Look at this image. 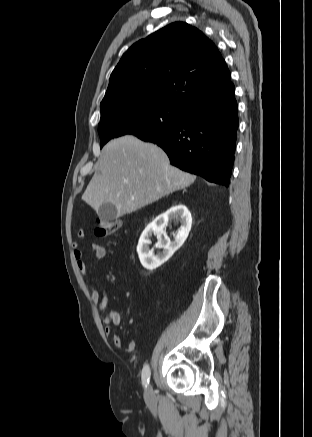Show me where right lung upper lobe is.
Instances as JSON below:
<instances>
[{
    "instance_id": "cb5924a9",
    "label": "right lung upper lobe",
    "mask_w": 312,
    "mask_h": 437,
    "mask_svg": "<svg viewBox=\"0 0 312 437\" xmlns=\"http://www.w3.org/2000/svg\"><path fill=\"white\" fill-rule=\"evenodd\" d=\"M231 81L215 44L184 22L172 23L133 44L113 70L101 117L132 103L161 102L187 109Z\"/></svg>"
}]
</instances>
